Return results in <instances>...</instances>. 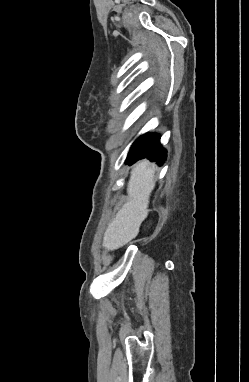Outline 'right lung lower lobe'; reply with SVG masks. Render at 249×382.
Here are the masks:
<instances>
[{
  "label": "right lung lower lobe",
  "mask_w": 249,
  "mask_h": 382,
  "mask_svg": "<svg viewBox=\"0 0 249 382\" xmlns=\"http://www.w3.org/2000/svg\"><path fill=\"white\" fill-rule=\"evenodd\" d=\"M166 156V151L160 144V135L147 133L139 137L132 145L127 162L131 165L142 158H147L151 161L156 160L161 165Z\"/></svg>",
  "instance_id": "obj_1"
}]
</instances>
